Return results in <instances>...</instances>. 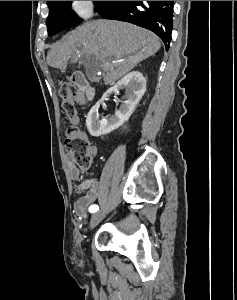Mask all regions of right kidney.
Masks as SVG:
<instances>
[{"label": "right kidney", "mask_w": 237, "mask_h": 300, "mask_svg": "<svg viewBox=\"0 0 237 300\" xmlns=\"http://www.w3.org/2000/svg\"><path fill=\"white\" fill-rule=\"evenodd\" d=\"M121 89L128 91L125 97L126 101H119L121 105L119 109H116L114 115H109V119H104V117L99 115L100 105H103L104 101H108V97L113 95V93H119ZM145 91L146 79L139 71H132V73H128L126 77L120 79V81H118L114 87L108 89L102 99L90 109L86 117V127L90 135H92V137H101V135H108L111 131L118 129L120 125H123L124 121H128L129 117H131Z\"/></svg>", "instance_id": "obj_1"}]
</instances>
